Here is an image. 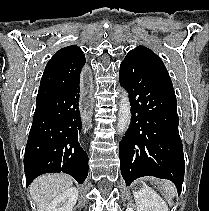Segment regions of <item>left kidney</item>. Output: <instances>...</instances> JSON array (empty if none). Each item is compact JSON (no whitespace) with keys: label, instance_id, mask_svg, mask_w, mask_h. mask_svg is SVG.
<instances>
[{"label":"left kidney","instance_id":"left-kidney-1","mask_svg":"<svg viewBox=\"0 0 209 211\" xmlns=\"http://www.w3.org/2000/svg\"><path fill=\"white\" fill-rule=\"evenodd\" d=\"M133 194L137 211H169L164 200L147 186L136 190Z\"/></svg>","mask_w":209,"mask_h":211}]
</instances>
